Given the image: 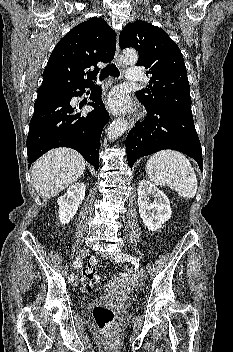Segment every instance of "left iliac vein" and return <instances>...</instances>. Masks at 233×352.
I'll return each mask as SVG.
<instances>
[{"label": "left iliac vein", "mask_w": 233, "mask_h": 352, "mask_svg": "<svg viewBox=\"0 0 233 352\" xmlns=\"http://www.w3.org/2000/svg\"><path fill=\"white\" fill-rule=\"evenodd\" d=\"M124 255V253L120 252V251H111L108 253H104L102 256L105 259H108L110 261H114V262H123L124 260L122 259V256ZM138 276L140 279H145L146 278V271L143 268H140L138 271Z\"/></svg>", "instance_id": "1"}]
</instances>
